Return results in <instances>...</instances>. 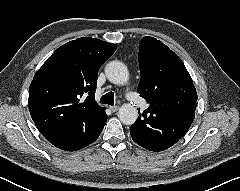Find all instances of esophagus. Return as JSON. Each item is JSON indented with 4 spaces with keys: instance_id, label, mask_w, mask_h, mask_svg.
Returning a JSON list of instances; mask_svg holds the SVG:
<instances>
[{
    "instance_id": "34e87169",
    "label": "esophagus",
    "mask_w": 240,
    "mask_h": 191,
    "mask_svg": "<svg viewBox=\"0 0 240 191\" xmlns=\"http://www.w3.org/2000/svg\"><path fill=\"white\" fill-rule=\"evenodd\" d=\"M109 109H110L112 112H116V111H118L119 106H110Z\"/></svg>"
}]
</instances>
